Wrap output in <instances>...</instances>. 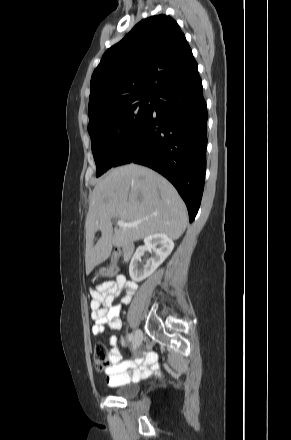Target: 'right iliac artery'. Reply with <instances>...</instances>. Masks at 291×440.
I'll return each instance as SVG.
<instances>
[{"label": "right iliac artery", "mask_w": 291, "mask_h": 440, "mask_svg": "<svg viewBox=\"0 0 291 440\" xmlns=\"http://www.w3.org/2000/svg\"><path fill=\"white\" fill-rule=\"evenodd\" d=\"M128 340H129L130 342L133 340V334H132V333L128 335Z\"/></svg>", "instance_id": "obj_1"}]
</instances>
